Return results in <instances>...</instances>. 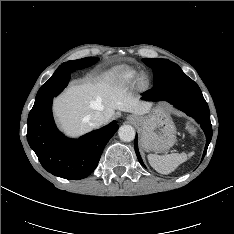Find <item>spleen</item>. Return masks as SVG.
Instances as JSON below:
<instances>
[{
    "label": "spleen",
    "mask_w": 234,
    "mask_h": 234,
    "mask_svg": "<svg viewBox=\"0 0 234 234\" xmlns=\"http://www.w3.org/2000/svg\"><path fill=\"white\" fill-rule=\"evenodd\" d=\"M191 154L172 153L165 156L149 154L148 161L152 168L161 174H169L173 172L180 164L185 162Z\"/></svg>",
    "instance_id": "3e777b00"
}]
</instances>
